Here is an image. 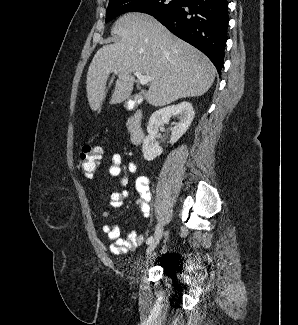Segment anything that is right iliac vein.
Instances as JSON below:
<instances>
[{"mask_svg": "<svg viewBox=\"0 0 298 325\" xmlns=\"http://www.w3.org/2000/svg\"><path fill=\"white\" fill-rule=\"evenodd\" d=\"M163 234V226L162 223L159 222L156 226V230H155V234L153 237L152 242L149 244L147 250H146V255L149 256L153 253V251L155 250V248L157 247L161 237Z\"/></svg>", "mask_w": 298, "mask_h": 325, "instance_id": "1", "label": "right iliac vein"}]
</instances>
